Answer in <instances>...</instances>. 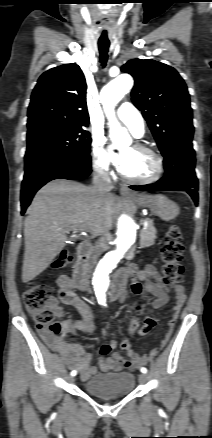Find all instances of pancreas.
<instances>
[{
  "label": "pancreas",
  "instance_id": "pancreas-1",
  "mask_svg": "<svg viewBox=\"0 0 212 438\" xmlns=\"http://www.w3.org/2000/svg\"><path fill=\"white\" fill-rule=\"evenodd\" d=\"M156 229L154 227L153 221H147V228L142 230L140 233V246L141 248H146L154 244L156 239Z\"/></svg>",
  "mask_w": 212,
  "mask_h": 438
}]
</instances>
